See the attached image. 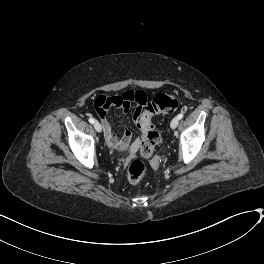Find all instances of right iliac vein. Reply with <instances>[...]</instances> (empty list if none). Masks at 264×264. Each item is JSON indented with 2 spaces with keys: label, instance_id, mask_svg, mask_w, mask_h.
Returning a JSON list of instances; mask_svg holds the SVG:
<instances>
[{
  "label": "right iliac vein",
  "instance_id": "1",
  "mask_svg": "<svg viewBox=\"0 0 264 264\" xmlns=\"http://www.w3.org/2000/svg\"><path fill=\"white\" fill-rule=\"evenodd\" d=\"M94 128L97 132H101L102 131V126L99 122H95L94 123Z\"/></svg>",
  "mask_w": 264,
  "mask_h": 264
}]
</instances>
